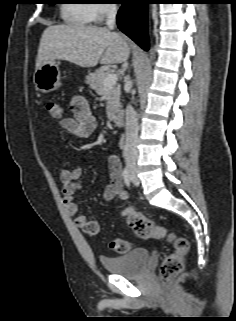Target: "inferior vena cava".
Returning <instances> with one entry per match:
<instances>
[{"mask_svg": "<svg viewBox=\"0 0 236 321\" xmlns=\"http://www.w3.org/2000/svg\"><path fill=\"white\" fill-rule=\"evenodd\" d=\"M117 8L114 4L106 7V24L109 29H113L116 23ZM138 143V120L131 105H127L125 111V147L126 158H136Z\"/></svg>", "mask_w": 236, "mask_h": 321, "instance_id": "1", "label": "inferior vena cava"}]
</instances>
